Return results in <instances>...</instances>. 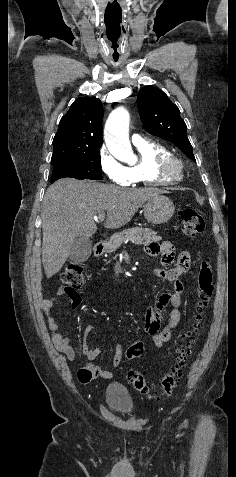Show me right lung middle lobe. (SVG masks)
Returning a JSON list of instances; mask_svg holds the SVG:
<instances>
[{"label":"right lung middle lobe","mask_w":236,"mask_h":477,"mask_svg":"<svg viewBox=\"0 0 236 477\" xmlns=\"http://www.w3.org/2000/svg\"><path fill=\"white\" fill-rule=\"evenodd\" d=\"M53 172L51 182L71 177L79 180L102 179L100 150L81 152L77 155L51 161Z\"/></svg>","instance_id":"right-lung-middle-lobe-1"}]
</instances>
